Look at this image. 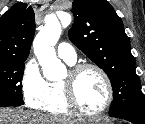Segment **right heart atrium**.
<instances>
[{"label":"right heart atrium","instance_id":"1","mask_svg":"<svg viewBox=\"0 0 145 124\" xmlns=\"http://www.w3.org/2000/svg\"><path fill=\"white\" fill-rule=\"evenodd\" d=\"M21 88L25 101L34 108H38L46 99L47 81L34 59H30L24 66Z\"/></svg>","mask_w":145,"mask_h":124}]
</instances>
